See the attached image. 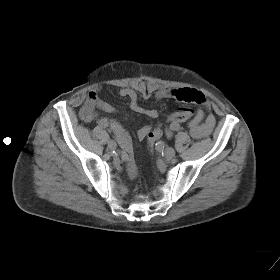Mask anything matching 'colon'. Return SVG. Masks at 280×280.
<instances>
[{
  "label": "colon",
  "instance_id": "5ec220e1",
  "mask_svg": "<svg viewBox=\"0 0 280 280\" xmlns=\"http://www.w3.org/2000/svg\"><path fill=\"white\" fill-rule=\"evenodd\" d=\"M191 116L192 111L189 108H181L167 118V123L168 125H170L173 122H184L187 121ZM162 134L163 128L161 126H158L148 132L147 141L150 149H153L155 147Z\"/></svg>",
  "mask_w": 280,
  "mask_h": 280
}]
</instances>
